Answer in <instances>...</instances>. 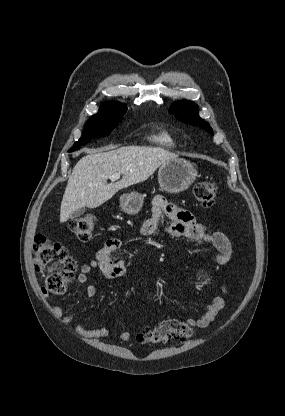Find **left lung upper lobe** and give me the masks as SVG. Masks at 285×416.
Masks as SVG:
<instances>
[{"mask_svg":"<svg viewBox=\"0 0 285 416\" xmlns=\"http://www.w3.org/2000/svg\"><path fill=\"white\" fill-rule=\"evenodd\" d=\"M169 112L178 120L205 129L213 135L210 125L199 117L198 106L195 103L185 100L175 102L171 105Z\"/></svg>","mask_w":285,"mask_h":416,"instance_id":"5c2ea615","label":"left lung upper lobe"}]
</instances>
